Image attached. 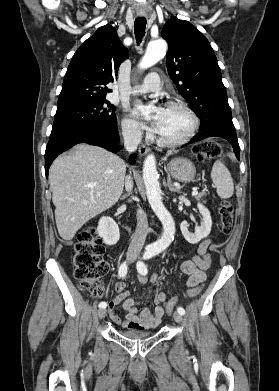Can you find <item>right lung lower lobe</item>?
I'll use <instances>...</instances> for the list:
<instances>
[{
  "label": "right lung lower lobe",
  "mask_w": 279,
  "mask_h": 391,
  "mask_svg": "<svg viewBox=\"0 0 279 391\" xmlns=\"http://www.w3.org/2000/svg\"><path fill=\"white\" fill-rule=\"evenodd\" d=\"M78 143L101 146L116 153L120 149L117 120L52 131L45 152L46 176H48V170L53 160ZM135 156V154L132 155L133 158ZM129 163L134 164L135 161L131 158Z\"/></svg>",
  "instance_id": "obj_1"
}]
</instances>
